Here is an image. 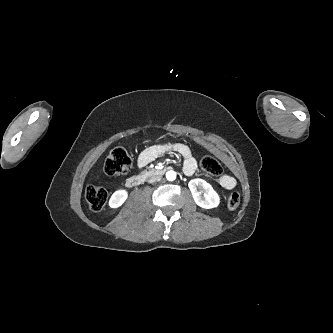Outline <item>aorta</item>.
<instances>
[{"label":"aorta","mask_w":333,"mask_h":333,"mask_svg":"<svg viewBox=\"0 0 333 333\" xmlns=\"http://www.w3.org/2000/svg\"><path fill=\"white\" fill-rule=\"evenodd\" d=\"M166 179L168 181H174L176 179V172L171 170L166 173Z\"/></svg>","instance_id":"762f6f07"}]
</instances>
